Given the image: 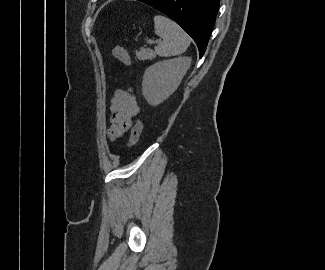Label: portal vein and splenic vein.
I'll return each instance as SVG.
<instances>
[{
  "label": "portal vein and splenic vein",
  "mask_w": 325,
  "mask_h": 270,
  "mask_svg": "<svg viewBox=\"0 0 325 270\" xmlns=\"http://www.w3.org/2000/svg\"><path fill=\"white\" fill-rule=\"evenodd\" d=\"M155 42H158V41H155ZM147 43L152 44V43H154V41L148 40Z\"/></svg>",
  "instance_id": "18ae733b"
}]
</instances>
